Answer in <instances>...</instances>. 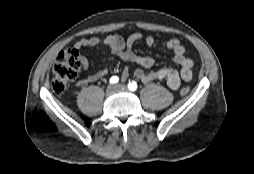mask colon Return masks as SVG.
<instances>
[{
  "instance_id": "colon-1",
  "label": "colon",
  "mask_w": 254,
  "mask_h": 174,
  "mask_svg": "<svg viewBox=\"0 0 254 174\" xmlns=\"http://www.w3.org/2000/svg\"><path fill=\"white\" fill-rule=\"evenodd\" d=\"M80 67L79 52L77 49H66L59 53L52 69V89L62 93L72 82ZM190 89L182 87L180 93L187 95Z\"/></svg>"
}]
</instances>
